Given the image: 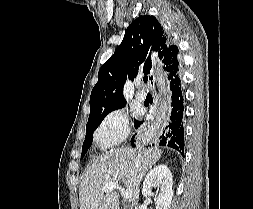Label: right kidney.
Returning a JSON list of instances; mask_svg holds the SVG:
<instances>
[{
    "instance_id": "right-kidney-1",
    "label": "right kidney",
    "mask_w": 253,
    "mask_h": 209,
    "mask_svg": "<svg viewBox=\"0 0 253 209\" xmlns=\"http://www.w3.org/2000/svg\"><path fill=\"white\" fill-rule=\"evenodd\" d=\"M173 177L166 165H159L146 175L142 194L146 198L154 197L156 209H170L173 196ZM157 191L154 192V189Z\"/></svg>"
}]
</instances>
